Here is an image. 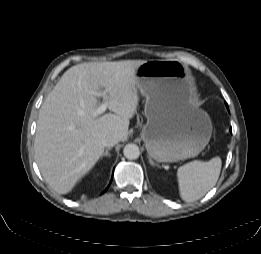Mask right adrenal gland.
Masks as SVG:
<instances>
[{"label":"right adrenal gland","mask_w":261,"mask_h":254,"mask_svg":"<svg viewBox=\"0 0 261 254\" xmlns=\"http://www.w3.org/2000/svg\"><path fill=\"white\" fill-rule=\"evenodd\" d=\"M110 150H111V147H108L101 157L102 158L103 157H109L110 158L111 157V154L109 153Z\"/></svg>","instance_id":"1"}]
</instances>
